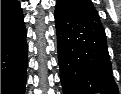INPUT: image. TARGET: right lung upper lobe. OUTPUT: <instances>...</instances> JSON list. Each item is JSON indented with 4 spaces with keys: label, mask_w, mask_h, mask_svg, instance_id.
<instances>
[{
    "label": "right lung upper lobe",
    "mask_w": 121,
    "mask_h": 94,
    "mask_svg": "<svg viewBox=\"0 0 121 94\" xmlns=\"http://www.w3.org/2000/svg\"><path fill=\"white\" fill-rule=\"evenodd\" d=\"M13 2H15V0H1V8L5 7Z\"/></svg>",
    "instance_id": "1"
}]
</instances>
